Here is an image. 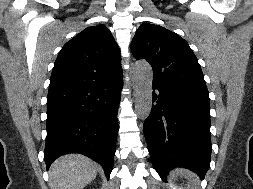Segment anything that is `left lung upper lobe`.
Instances as JSON below:
<instances>
[{
	"mask_svg": "<svg viewBox=\"0 0 253 189\" xmlns=\"http://www.w3.org/2000/svg\"><path fill=\"white\" fill-rule=\"evenodd\" d=\"M131 51L153 68V84L175 89L209 101L208 90L196 56L188 43L159 25L143 23L137 30Z\"/></svg>",
	"mask_w": 253,
	"mask_h": 189,
	"instance_id": "5c2ea615",
	"label": "left lung upper lobe"
}]
</instances>
